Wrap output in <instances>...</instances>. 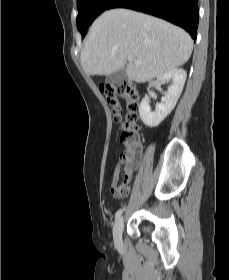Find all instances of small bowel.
<instances>
[{"instance_id": "c3829d8e", "label": "small bowel", "mask_w": 229, "mask_h": 280, "mask_svg": "<svg viewBox=\"0 0 229 280\" xmlns=\"http://www.w3.org/2000/svg\"><path fill=\"white\" fill-rule=\"evenodd\" d=\"M139 154H140V152L137 151L136 157H135L133 163L128 165V166H126V177L125 178H126L127 181L131 180L132 172H133L134 168L138 164ZM119 175H120V168L116 167L115 170H114V173H113L112 185H114V184H116L118 182ZM113 193H114L116 199H122V198L126 197L129 194V190H127L125 192H113Z\"/></svg>"}]
</instances>
